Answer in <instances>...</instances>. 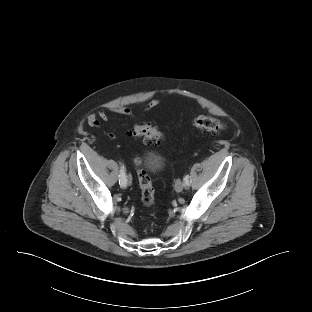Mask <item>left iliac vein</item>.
<instances>
[{"label":"left iliac vein","mask_w":312,"mask_h":312,"mask_svg":"<svg viewBox=\"0 0 312 312\" xmlns=\"http://www.w3.org/2000/svg\"><path fill=\"white\" fill-rule=\"evenodd\" d=\"M185 187V183L181 180H177L175 183V190L177 192H181Z\"/></svg>","instance_id":"4c4485c4"}]
</instances>
